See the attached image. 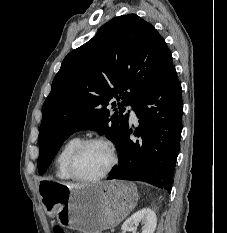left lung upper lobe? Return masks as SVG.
Segmentation results:
<instances>
[{"mask_svg": "<svg viewBox=\"0 0 227 233\" xmlns=\"http://www.w3.org/2000/svg\"><path fill=\"white\" fill-rule=\"evenodd\" d=\"M173 67L160 34L135 14L104 24L70 52L56 74L42 108L38 171L42 175L62 143L74 132L105 134L117 147L128 126L125 108L150 93ZM112 103L114 114L106 109Z\"/></svg>", "mask_w": 227, "mask_h": 233, "instance_id": "5c2ea615", "label": "left lung upper lobe"}]
</instances>
